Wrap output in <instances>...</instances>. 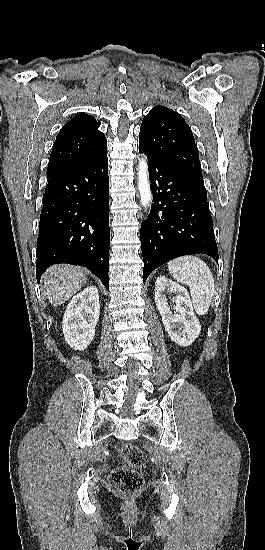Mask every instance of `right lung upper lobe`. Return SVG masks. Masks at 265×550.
<instances>
[{
	"label": "right lung upper lobe",
	"instance_id": "cb5924a9",
	"mask_svg": "<svg viewBox=\"0 0 265 550\" xmlns=\"http://www.w3.org/2000/svg\"><path fill=\"white\" fill-rule=\"evenodd\" d=\"M100 124L95 117L85 113L67 122L56 137L47 172L105 154L107 142L104 134L98 130Z\"/></svg>",
	"mask_w": 265,
	"mask_h": 550
}]
</instances>
